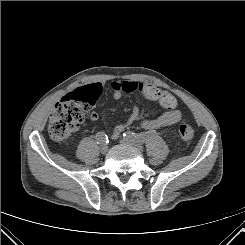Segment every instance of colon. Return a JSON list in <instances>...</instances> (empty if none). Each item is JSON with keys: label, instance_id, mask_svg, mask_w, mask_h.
I'll return each instance as SVG.
<instances>
[{"label": "colon", "instance_id": "5ec220e1", "mask_svg": "<svg viewBox=\"0 0 245 245\" xmlns=\"http://www.w3.org/2000/svg\"><path fill=\"white\" fill-rule=\"evenodd\" d=\"M100 92L99 84H91L73 90L58 102L49 120L48 131L51 138L63 141L75 132L84 120V113L96 103ZM178 131L182 139L190 140L194 136L195 128L184 121Z\"/></svg>", "mask_w": 245, "mask_h": 245}]
</instances>
